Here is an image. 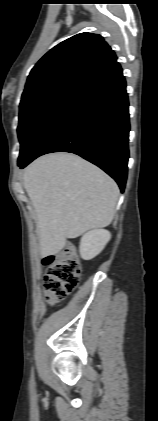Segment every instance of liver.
Wrapping results in <instances>:
<instances>
[{"instance_id":"1","label":"liver","mask_w":158,"mask_h":421,"mask_svg":"<svg viewBox=\"0 0 158 421\" xmlns=\"http://www.w3.org/2000/svg\"><path fill=\"white\" fill-rule=\"evenodd\" d=\"M23 181L37 215L42 256L59 253L68 238L108 226L114 218L116 182L79 156H41L25 169Z\"/></svg>"}]
</instances>
